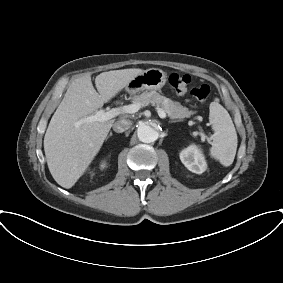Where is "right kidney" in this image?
<instances>
[{"label":"right kidney","mask_w":283,"mask_h":283,"mask_svg":"<svg viewBox=\"0 0 283 283\" xmlns=\"http://www.w3.org/2000/svg\"><path fill=\"white\" fill-rule=\"evenodd\" d=\"M105 162H103L102 164H101V168H104L105 167Z\"/></svg>","instance_id":"right-kidney-1"}]
</instances>
